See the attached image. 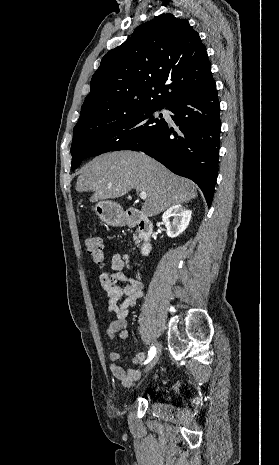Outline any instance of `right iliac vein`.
<instances>
[{"mask_svg": "<svg viewBox=\"0 0 279 465\" xmlns=\"http://www.w3.org/2000/svg\"><path fill=\"white\" fill-rule=\"evenodd\" d=\"M156 348H157L156 353H155V355H154L152 361H151V362L149 363V365L146 367L145 373H148L150 370H152L153 367L157 364V362H158V360H159V358H160V355H161V347H160V344H159V343L156 344Z\"/></svg>", "mask_w": 279, "mask_h": 465, "instance_id": "obj_1", "label": "right iliac vein"}]
</instances>
